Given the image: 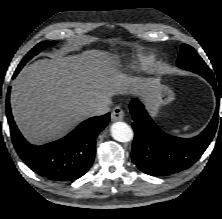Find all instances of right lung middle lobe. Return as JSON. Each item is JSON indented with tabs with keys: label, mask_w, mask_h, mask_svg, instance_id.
<instances>
[{
	"label": "right lung middle lobe",
	"mask_w": 222,
	"mask_h": 219,
	"mask_svg": "<svg viewBox=\"0 0 222 219\" xmlns=\"http://www.w3.org/2000/svg\"><path fill=\"white\" fill-rule=\"evenodd\" d=\"M56 41H43L40 42L38 45H36L22 60V62L19 64L18 69L19 71L21 70V68L25 65L26 62H28L33 56H35L36 54H38L41 50H43L44 48L48 47V46H52L54 44H56Z\"/></svg>",
	"instance_id": "1"
}]
</instances>
